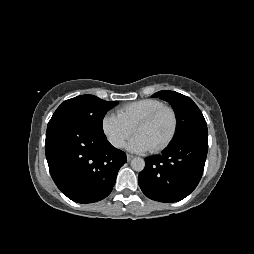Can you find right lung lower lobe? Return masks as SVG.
Wrapping results in <instances>:
<instances>
[{"mask_svg": "<svg viewBox=\"0 0 254 254\" xmlns=\"http://www.w3.org/2000/svg\"><path fill=\"white\" fill-rule=\"evenodd\" d=\"M51 177L77 203L107 197L126 154L113 147L103 131L69 119L49 122L45 142Z\"/></svg>", "mask_w": 254, "mask_h": 254, "instance_id": "1", "label": "right lung lower lobe"}]
</instances>
